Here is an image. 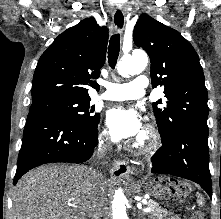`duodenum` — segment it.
Listing matches in <instances>:
<instances>
[{
	"instance_id": "410a0bca",
	"label": "duodenum",
	"mask_w": 221,
	"mask_h": 219,
	"mask_svg": "<svg viewBox=\"0 0 221 219\" xmlns=\"http://www.w3.org/2000/svg\"><path fill=\"white\" fill-rule=\"evenodd\" d=\"M70 219H84V218L81 217L80 215H75V216L71 217Z\"/></svg>"
}]
</instances>
